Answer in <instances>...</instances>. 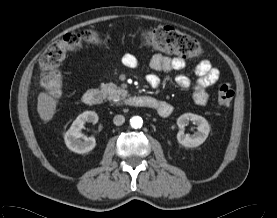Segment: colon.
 <instances>
[{
  "label": "colon",
  "instance_id": "1",
  "mask_svg": "<svg viewBox=\"0 0 277 218\" xmlns=\"http://www.w3.org/2000/svg\"><path fill=\"white\" fill-rule=\"evenodd\" d=\"M139 43L157 51L183 57H198L202 53L200 43L190 35L169 26H158L144 29L138 33ZM107 42L104 34L84 30L66 34L62 39L51 43L40 56L41 87L53 98L62 94L63 77L59 70L60 64L68 53L77 52L85 45L102 46ZM234 89L223 84L217 91V105L221 109L228 108L234 98Z\"/></svg>",
  "mask_w": 277,
  "mask_h": 218
}]
</instances>
